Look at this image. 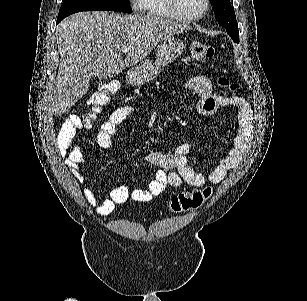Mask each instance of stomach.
<instances>
[{
    "label": "stomach",
    "mask_w": 307,
    "mask_h": 301,
    "mask_svg": "<svg viewBox=\"0 0 307 301\" xmlns=\"http://www.w3.org/2000/svg\"><path fill=\"white\" fill-rule=\"evenodd\" d=\"M184 48H186L184 42L179 38H174V36L162 40L156 48L155 60L145 58V60L128 70L126 74L128 84L141 86V84H146L149 80H153L166 64H170V62L181 56Z\"/></svg>",
    "instance_id": "obj_1"
}]
</instances>
